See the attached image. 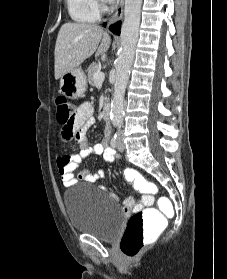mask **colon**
Listing matches in <instances>:
<instances>
[{
  "mask_svg": "<svg viewBox=\"0 0 227 279\" xmlns=\"http://www.w3.org/2000/svg\"><path fill=\"white\" fill-rule=\"evenodd\" d=\"M56 118L62 127L64 140H68L75 123V105L66 97L60 96L56 99ZM78 130V129H76ZM127 179L134 183L138 190L145 191L144 196H150L158 192L156 184L146 180L136 170L127 173ZM168 216L161 210L143 208L135 212L129 219L126 230L121 240L122 253L133 258L137 256L147 237H153L164 229Z\"/></svg>",
  "mask_w": 227,
  "mask_h": 279,
  "instance_id": "1",
  "label": "colon"
}]
</instances>
